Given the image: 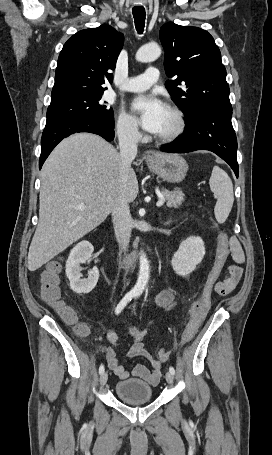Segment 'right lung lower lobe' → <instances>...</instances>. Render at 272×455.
I'll list each match as a JSON object with an SVG mask.
<instances>
[{
    "mask_svg": "<svg viewBox=\"0 0 272 455\" xmlns=\"http://www.w3.org/2000/svg\"><path fill=\"white\" fill-rule=\"evenodd\" d=\"M79 132L94 133L107 141H112L115 136L114 124H106L93 118H68L46 123L41 138L39 169H41L48 155L62 139Z\"/></svg>",
    "mask_w": 272,
    "mask_h": 455,
    "instance_id": "1",
    "label": "right lung lower lobe"
}]
</instances>
